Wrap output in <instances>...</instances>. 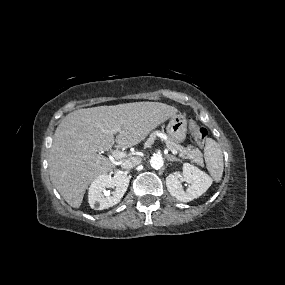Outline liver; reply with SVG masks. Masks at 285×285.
Wrapping results in <instances>:
<instances>
[{
  "label": "liver",
  "instance_id": "6515ba94",
  "mask_svg": "<svg viewBox=\"0 0 285 285\" xmlns=\"http://www.w3.org/2000/svg\"><path fill=\"white\" fill-rule=\"evenodd\" d=\"M177 112L164 103L133 102L69 113L58 125L50 150L52 184L70 206L79 208L89 184L115 168L100 152L111 150L114 142L121 148L139 144ZM113 128H119L116 139Z\"/></svg>",
  "mask_w": 285,
  "mask_h": 285
}]
</instances>
